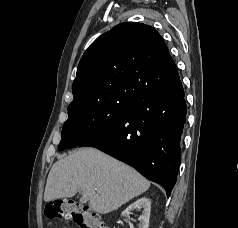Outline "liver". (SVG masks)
Returning a JSON list of instances; mask_svg holds the SVG:
<instances>
[{"label":"liver","mask_w":238,"mask_h":228,"mask_svg":"<svg viewBox=\"0 0 238 228\" xmlns=\"http://www.w3.org/2000/svg\"><path fill=\"white\" fill-rule=\"evenodd\" d=\"M150 182L132 167L91 147L79 149L55 162L49 172L44 201L73 197L101 214L117 210L147 191Z\"/></svg>","instance_id":"liver-1"}]
</instances>
